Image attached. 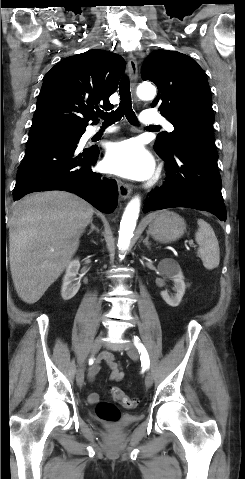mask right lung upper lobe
<instances>
[{"label": "right lung upper lobe", "mask_w": 245, "mask_h": 479, "mask_svg": "<svg viewBox=\"0 0 245 479\" xmlns=\"http://www.w3.org/2000/svg\"><path fill=\"white\" fill-rule=\"evenodd\" d=\"M125 70L124 59L113 52L89 50L63 59L46 74L30 131L47 128L86 129L97 122L100 103L111 108L109 97Z\"/></svg>", "instance_id": "1"}]
</instances>
